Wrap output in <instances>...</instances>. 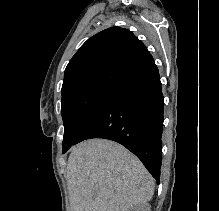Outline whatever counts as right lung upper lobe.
Instances as JSON below:
<instances>
[{"mask_svg":"<svg viewBox=\"0 0 219 211\" xmlns=\"http://www.w3.org/2000/svg\"><path fill=\"white\" fill-rule=\"evenodd\" d=\"M153 62L145 45L127 29L112 27L89 38L66 67L62 100L94 85H117Z\"/></svg>","mask_w":219,"mask_h":211,"instance_id":"cb5924a9","label":"right lung upper lobe"}]
</instances>
